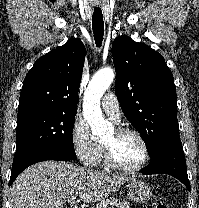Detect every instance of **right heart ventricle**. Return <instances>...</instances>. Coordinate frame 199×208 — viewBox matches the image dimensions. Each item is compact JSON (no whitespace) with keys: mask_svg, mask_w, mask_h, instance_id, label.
<instances>
[{"mask_svg":"<svg viewBox=\"0 0 199 208\" xmlns=\"http://www.w3.org/2000/svg\"><path fill=\"white\" fill-rule=\"evenodd\" d=\"M103 161H104V156H103V151L101 149V153L99 155L98 162H103Z\"/></svg>","mask_w":199,"mask_h":208,"instance_id":"e07e8e85","label":"right heart ventricle"}]
</instances>
